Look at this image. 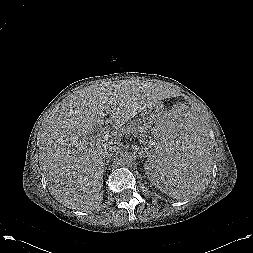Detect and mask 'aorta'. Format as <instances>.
Instances as JSON below:
<instances>
[{"label":"aorta","mask_w":253,"mask_h":253,"mask_svg":"<svg viewBox=\"0 0 253 253\" xmlns=\"http://www.w3.org/2000/svg\"><path fill=\"white\" fill-rule=\"evenodd\" d=\"M134 160V154L130 151L123 150L119 153V161L123 165L132 163Z\"/></svg>","instance_id":"obj_1"}]
</instances>
